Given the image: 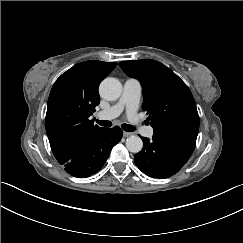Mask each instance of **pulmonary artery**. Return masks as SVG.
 I'll return each instance as SVG.
<instances>
[{
  "label": "pulmonary artery",
  "instance_id": "e3ab8cb5",
  "mask_svg": "<svg viewBox=\"0 0 243 243\" xmlns=\"http://www.w3.org/2000/svg\"><path fill=\"white\" fill-rule=\"evenodd\" d=\"M141 95L142 85L140 81L133 78H125L119 101L112 107L97 112L95 116L100 120H113L126 111L128 118L136 121L138 120L137 110L140 105ZM144 135L148 138H153L154 127L152 125L145 127Z\"/></svg>",
  "mask_w": 243,
  "mask_h": 243
}]
</instances>
